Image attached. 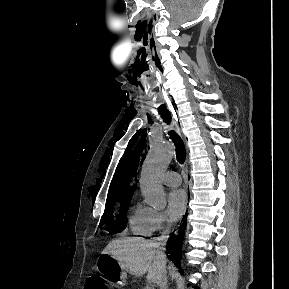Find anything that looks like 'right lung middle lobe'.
<instances>
[{"instance_id":"dd1d6c3e","label":"right lung middle lobe","mask_w":289,"mask_h":289,"mask_svg":"<svg viewBox=\"0 0 289 289\" xmlns=\"http://www.w3.org/2000/svg\"><path fill=\"white\" fill-rule=\"evenodd\" d=\"M131 199L125 200L120 203L119 213H114V203H106L104 214L101 218L99 227L107 225L111 232H121L126 228L127 225V208L130 204Z\"/></svg>"}]
</instances>
